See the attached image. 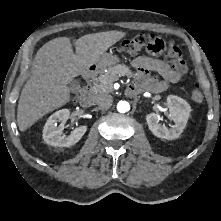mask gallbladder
Here are the masks:
<instances>
[{"instance_id":"gallbladder-1","label":"gallbladder","mask_w":221,"mask_h":221,"mask_svg":"<svg viewBox=\"0 0 221 221\" xmlns=\"http://www.w3.org/2000/svg\"><path fill=\"white\" fill-rule=\"evenodd\" d=\"M78 86V82L76 80H73L69 83V88L71 90L75 89Z\"/></svg>"}]
</instances>
